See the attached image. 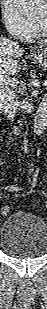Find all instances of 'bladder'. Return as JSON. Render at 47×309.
Masks as SVG:
<instances>
[{"label": "bladder", "mask_w": 47, "mask_h": 309, "mask_svg": "<svg viewBox=\"0 0 47 309\" xmlns=\"http://www.w3.org/2000/svg\"><path fill=\"white\" fill-rule=\"evenodd\" d=\"M0 245L12 257L42 256L47 250V226L35 214L24 211L12 213L2 225Z\"/></svg>", "instance_id": "bladder-1"}]
</instances>
